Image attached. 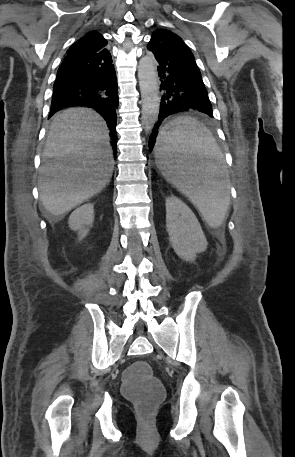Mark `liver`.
<instances>
[{
  "label": "liver",
  "mask_w": 295,
  "mask_h": 457,
  "mask_svg": "<svg viewBox=\"0 0 295 457\" xmlns=\"http://www.w3.org/2000/svg\"><path fill=\"white\" fill-rule=\"evenodd\" d=\"M109 130L92 109L70 108L53 119L39 169L40 200L62 216L100 193L114 169Z\"/></svg>",
  "instance_id": "1"
}]
</instances>
